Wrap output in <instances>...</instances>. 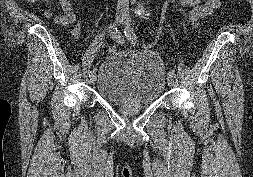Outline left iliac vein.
I'll return each instance as SVG.
<instances>
[{"instance_id":"1","label":"left iliac vein","mask_w":253,"mask_h":177,"mask_svg":"<svg viewBox=\"0 0 253 177\" xmlns=\"http://www.w3.org/2000/svg\"><path fill=\"white\" fill-rule=\"evenodd\" d=\"M125 24H126V26L132 27L131 20L128 17L125 18ZM167 84H168V86L173 87L175 85L174 77L168 76L167 77Z\"/></svg>"}]
</instances>
